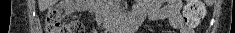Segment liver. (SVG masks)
Wrapping results in <instances>:
<instances>
[{"label": "liver", "instance_id": "obj_1", "mask_svg": "<svg viewBox=\"0 0 235 33\" xmlns=\"http://www.w3.org/2000/svg\"><path fill=\"white\" fill-rule=\"evenodd\" d=\"M55 0H38V6L40 11H45L49 7L55 4Z\"/></svg>", "mask_w": 235, "mask_h": 33}]
</instances>
